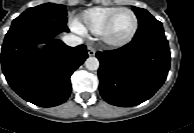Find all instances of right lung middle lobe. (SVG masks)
Returning a JSON list of instances; mask_svg holds the SVG:
<instances>
[{
  "mask_svg": "<svg viewBox=\"0 0 194 133\" xmlns=\"http://www.w3.org/2000/svg\"><path fill=\"white\" fill-rule=\"evenodd\" d=\"M31 20H56L59 22L67 23L66 7L61 4L53 3H46L32 7L14 19L12 25Z\"/></svg>",
  "mask_w": 194,
  "mask_h": 133,
  "instance_id": "dd1d6c3e",
  "label": "right lung middle lobe"
}]
</instances>
